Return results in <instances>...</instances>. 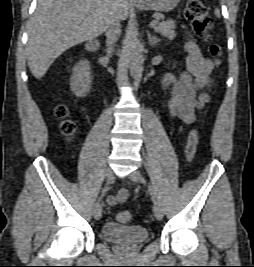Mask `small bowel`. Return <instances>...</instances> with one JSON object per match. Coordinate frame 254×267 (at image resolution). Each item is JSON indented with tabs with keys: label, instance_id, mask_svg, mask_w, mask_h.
<instances>
[{
	"label": "small bowel",
	"instance_id": "1",
	"mask_svg": "<svg viewBox=\"0 0 254 267\" xmlns=\"http://www.w3.org/2000/svg\"><path fill=\"white\" fill-rule=\"evenodd\" d=\"M185 50L188 53L186 70L177 76L171 72L166 73L162 85L164 90L171 89L169 101L171 117L190 124L194 122L197 111L209 100V96L200 91L213 69V64L210 59L202 55L198 45L190 39L185 43ZM128 197V191L121 189L115 195L107 197V204L116 206L126 202Z\"/></svg>",
	"mask_w": 254,
	"mask_h": 267
}]
</instances>
